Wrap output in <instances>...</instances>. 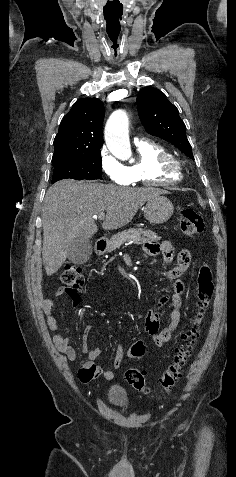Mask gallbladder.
<instances>
[{
	"label": "gallbladder",
	"instance_id": "1",
	"mask_svg": "<svg viewBox=\"0 0 236 477\" xmlns=\"http://www.w3.org/2000/svg\"><path fill=\"white\" fill-rule=\"evenodd\" d=\"M92 254V242L87 238H76L68 249V259L74 264L87 262Z\"/></svg>",
	"mask_w": 236,
	"mask_h": 477
}]
</instances>
